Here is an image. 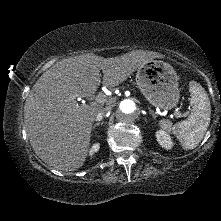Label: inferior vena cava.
Returning a JSON list of instances; mask_svg holds the SVG:
<instances>
[{
  "mask_svg": "<svg viewBox=\"0 0 221 221\" xmlns=\"http://www.w3.org/2000/svg\"><path fill=\"white\" fill-rule=\"evenodd\" d=\"M110 108L109 107H105V108H102L98 114L96 115L95 117V120L96 121H101L103 119V117L109 112Z\"/></svg>",
  "mask_w": 221,
  "mask_h": 221,
  "instance_id": "1",
  "label": "inferior vena cava"
}]
</instances>
